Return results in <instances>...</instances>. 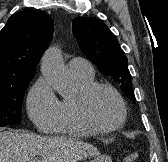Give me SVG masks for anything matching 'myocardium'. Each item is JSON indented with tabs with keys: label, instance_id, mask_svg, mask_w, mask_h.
I'll list each match as a JSON object with an SVG mask.
<instances>
[{
	"label": "myocardium",
	"instance_id": "myocardium-1",
	"mask_svg": "<svg viewBox=\"0 0 168 162\" xmlns=\"http://www.w3.org/2000/svg\"><path fill=\"white\" fill-rule=\"evenodd\" d=\"M101 89L107 90L110 93H112L119 104L121 110V117L119 121L114 125L110 126L101 125L97 123L93 118V116L91 115L89 108L90 99L95 92ZM76 109L79 118L82 120V122L85 123L91 129H93L95 132L117 131L124 126L127 120V107L122 95L115 87L106 83H92L91 85L84 88L77 97Z\"/></svg>",
	"mask_w": 168,
	"mask_h": 162
}]
</instances>
